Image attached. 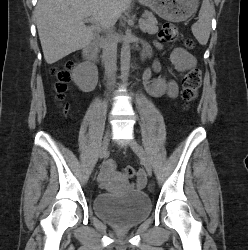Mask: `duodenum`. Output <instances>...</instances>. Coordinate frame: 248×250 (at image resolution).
<instances>
[{
    "instance_id": "1",
    "label": "duodenum",
    "mask_w": 248,
    "mask_h": 250,
    "mask_svg": "<svg viewBox=\"0 0 248 250\" xmlns=\"http://www.w3.org/2000/svg\"><path fill=\"white\" fill-rule=\"evenodd\" d=\"M98 51V38L92 36L83 50V57L88 62H95Z\"/></svg>"
}]
</instances>
